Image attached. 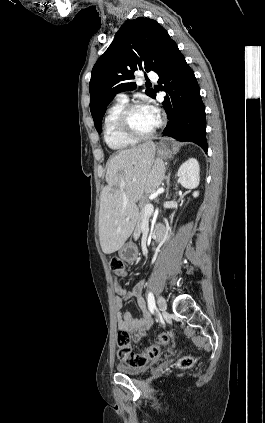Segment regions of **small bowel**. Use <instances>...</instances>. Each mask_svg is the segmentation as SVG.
I'll return each instance as SVG.
<instances>
[{"instance_id":"c3829d8e","label":"small bowel","mask_w":265,"mask_h":423,"mask_svg":"<svg viewBox=\"0 0 265 423\" xmlns=\"http://www.w3.org/2000/svg\"><path fill=\"white\" fill-rule=\"evenodd\" d=\"M157 227L163 226L158 225ZM126 275L127 272L123 269L119 273H114L112 277V290L114 293L113 307L116 313L118 328L127 331L131 335L132 340L138 343L146 336L147 331L153 323V318L147 311L143 297V291L146 284L145 279H139L132 292H128L121 287L116 280L117 277H124ZM132 298L136 299L137 306L141 312V316L139 317L133 316L130 312H121L124 301Z\"/></svg>"}]
</instances>
